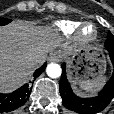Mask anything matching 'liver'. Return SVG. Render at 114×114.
<instances>
[{
    "instance_id": "1",
    "label": "liver",
    "mask_w": 114,
    "mask_h": 114,
    "mask_svg": "<svg viewBox=\"0 0 114 114\" xmlns=\"http://www.w3.org/2000/svg\"><path fill=\"white\" fill-rule=\"evenodd\" d=\"M59 47L69 48L50 26L24 21L0 26V92H11L25 83L47 54Z\"/></svg>"
}]
</instances>
